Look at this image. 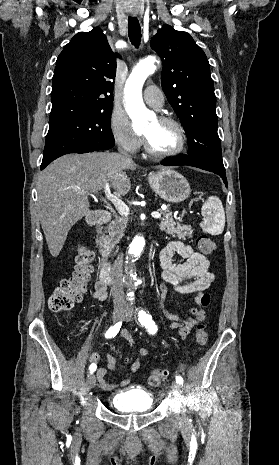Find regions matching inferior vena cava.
Returning <instances> with one entry per match:
<instances>
[{"label": "inferior vena cava", "mask_w": 279, "mask_h": 465, "mask_svg": "<svg viewBox=\"0 0 279 465\" xmlns=\"http://www.w3.org/2000/svg\"><path fill=\"white\" fill-rule=\"evenodd\" d=\"M120 155L126 159H130L129 156L119 149ZM112 277L111 292L115 303H123L125 301V293L123 289V254H119L111 266L110 271Z\"/></svg>", "instance_id": "602c4592"}]
</instances>
